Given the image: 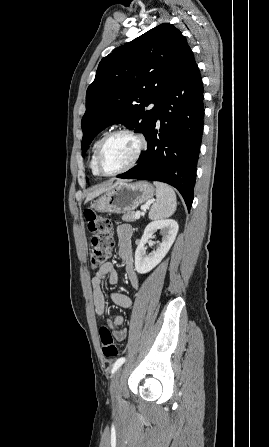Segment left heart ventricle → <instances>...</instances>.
<instances>
[{"label":"left heart ventricle","mask_w":269,"mask_h":447,"mask_svg":"<svg viewBox=\"0 0 269 447\" xmlns=\"http://www.w3.org/2000/svg\"><path fill=\"white\" fill-rule=\"evenodd\" d=\"M139 147L138 139L128 133L113 135L105 144L102 153L104 169L113 171L128 165Z\"/></svg>","instance_id":"left-heart-ventricle-1"}]
</instances>
